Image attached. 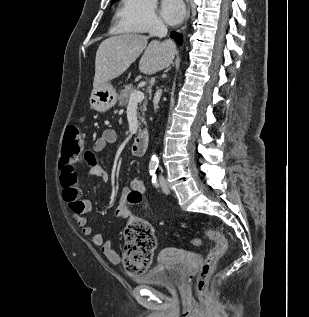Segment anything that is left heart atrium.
I'll use <instances>...</instances> for the list:
<instances>
[{"label":"left heart atrium","mask_w":309,"mask_h":317,"mask_svg":"<svg viewBox=\"0 0 309 317\" xmlns=\"http://www.w3.org/2000/svg\"><path fill=\"white\" fill-rule=\"evenodd\" d=\"M161 14L167 23L177 24L185 15V5L182 0H162Z\"/></svg>","instance_id":"obj_1"}]
</instances>
